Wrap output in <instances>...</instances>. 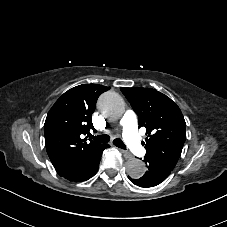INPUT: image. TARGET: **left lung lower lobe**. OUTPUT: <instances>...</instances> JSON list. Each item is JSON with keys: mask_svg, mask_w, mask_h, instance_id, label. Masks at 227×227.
Instances as JSON below:
<instances>
[{"mask_svg": "<svg viewBox=\"0 0 227 227\" xmlns=\"http://www.w3.org/2000/svg\"><path fill=\"white\" fill-rule=\"evenodd\" d=\"M146 165H148V170L139 179H132L129 177L131 182L140 187H153L160 184L165 180L171 173L169 169L160 165L158 162L147 160L144 158Z\"/></svg>", "mask_w": 227, "mask_h": 227, "instance_id": "left-lung-lower-lobe-1", "label": "left lung lower lobe"}]
</instances>
